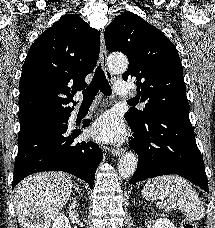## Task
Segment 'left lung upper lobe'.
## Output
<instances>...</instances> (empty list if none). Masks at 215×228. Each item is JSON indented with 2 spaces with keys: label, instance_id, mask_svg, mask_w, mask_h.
I'll return each mask as SVG.
<instances>
[{
  "label": "left lung upper lobe",
  "instance_id": "5c2ea615",
  "mask_svg": "<svg viewBox=\"0 0 215 228\" xmlns=\"http://www.w3.org/2000/svg\"><path fill=\"white\" fill-rule=\"evenodd\" d=\"M105 44L110 52L126 54L129 66L122 77L135 79L137 99L146 102L143 111L131 109L125 114L130 125H145L158 112H189L177 49L159 29L133 13H125L106 28Z\"/></svg>",
  "mask_w": 215,
  "mask_h": 228
}]
</instances>
